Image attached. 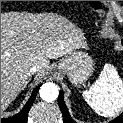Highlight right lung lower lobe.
I'll use <instances>...</instances> for the list:
<instances>
[{
  "label": "right lung lower lobe",
  "mask_w": 123,
  "mask_h": 123,
  "mask_svg": "<svg viewBox=\"0 0 123 123\" xmlns=\"http://www.w3.org/2000/svg\"><path fill=\"white\" fill-rule=\"evenodd\" d=\"M40 86H38L32 93L30 99L24 106V108L16 115L10 118H1V123H27V116H28V111L36 97V94L38 92V89Z\"/></svg>",
  "instance_id": "1"
}]
</instances>
